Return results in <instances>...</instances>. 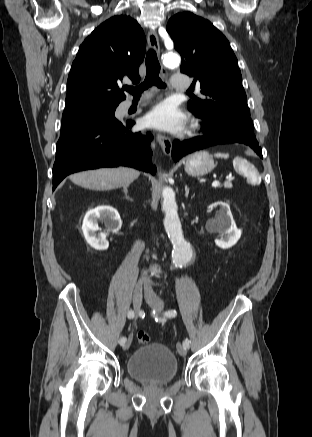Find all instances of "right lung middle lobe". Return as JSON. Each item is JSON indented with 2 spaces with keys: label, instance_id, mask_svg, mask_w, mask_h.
I'll return each instance as SVG.
<instances>
[{
  "label": "right lung middle lobe",
  "instance_id": "1",
  "mask_svg": "<svg viewBox=\"0 0 312 437\" xmlns=\"http://www.w3.org/2000/svg\"><path fill=\"white\" fill-rule=\"evenodd\" d=\"M116 107L80 106L65 109L62 116L60 138H66L77 132L117 121L114 116Z\"/></svg>",
  "mask_w": 312,
  "mask_h": 437
}]
</instances>
